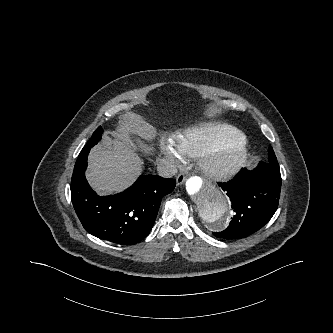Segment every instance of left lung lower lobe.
<instances>
[{
  "instance_id": "0a47b994",
  "label": "left lung lower lobe",
  "mask_w": 333,
  "mask_h": 333,
  "mask_svg": "<svg viewBox=\"0 0 333 333\" xmlns=\"http://www.w3.org/2000/svg\"><path fill=\"white\" fill-rule=\"evenodd\" d=\"M218 185L229 196L235 215L226 230L213 232L216 237H247L263 227L277 210L281 190L279 167L260 162L254 170L241 169L232 180Z\"/></svg>"
}]
</instances>
